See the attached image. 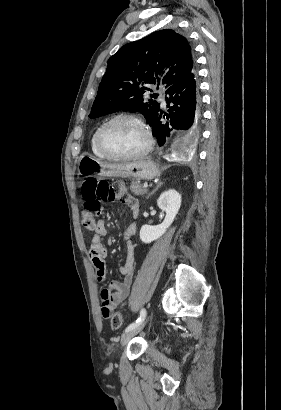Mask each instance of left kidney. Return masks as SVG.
<instances>
[{
    "mask_svg": "<svg viewBox=\"0 0 281 410\" xmlns=\"http://www.w3.org/2000/svg\"><path fill=\"white\" fill-rule=\"evenodd\" d=\"M158 207L166 212L164 221L156 226L143 225L140 229V239L151 243L160 238L173 223L181 206V195L174 189L163 192L157 200Z\"/></svg>",
    "mask_w": 281,
    "mask_h": 410,
    "instance_id": "1",
    "label": "left kidney"
}]
</instances>
